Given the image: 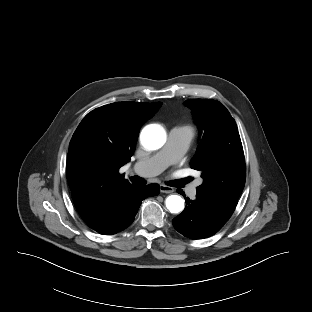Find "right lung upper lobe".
I'll use <instances>...</instances> for the list:
<instances>
[{
  "label": "right lung upper lobe",
  "instance_id": "1",
  "mask_svg": "<svg viewBox=\"0 0 312 312\" xmlns=\"http://www.w3.org/2000/svg\"><path fill=\"white\" fill-rule=\"evenodd\" d=\"M161 104H108L88 113L77 127L69 144L67 179L88 226L100 221L132 185L119 169L130 160L141 126Z\"/></svg>",
  "mask_w": 312,
  "mask_h": 312
}]
</instances>
